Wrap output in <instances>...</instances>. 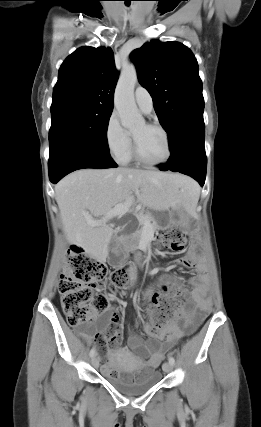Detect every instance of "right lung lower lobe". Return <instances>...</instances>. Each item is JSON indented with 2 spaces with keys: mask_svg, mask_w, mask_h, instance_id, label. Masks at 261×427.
I'll use <instances>...</instances> for the list:
<instances>
[{
  "mask_svg": "<svg viewBox=\"0 0 261 427\" xmlns=\"http://www.w3.org/2000/svg\"><path fill=\"white\" fill-rule=\"evenodd\" d=\"M49 178L57 183L65 175L84 168H115L110 154H100L81 149H62L49 156Z\"/></svg>",
  "mask_w": 261,
  "mask_h": 427,
  "instance_id": "obj_1",
  "label": "right lung lower lobe"
}]
</instances>
